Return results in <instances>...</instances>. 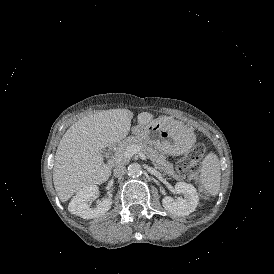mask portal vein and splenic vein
Instances as JSON below:
<instances>
[{
    "mask_svg": "<svg viewBox=\"0 0 274 274\" xmlns=\"http://www.w3.org/2000/svg\"><path fill=\"white\" fill-rule=\"evenodd\" d=\"M134 154H139L140 158L142 160H146L145 154L140 152V147L138 145H131L126 148V151L124 152L125 157H132Z\"/></svg>",
    "mask_w": 274,
    "mask_h": 274,
    "instance_id": "portal-vein-and-splenic-vein-1",
    "label": "portal vein and splenic vein"
}]
</instances>
